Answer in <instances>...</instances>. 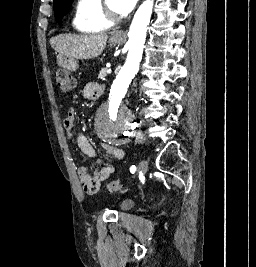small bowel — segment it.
<instances>
[{
  "mask_svg": "<svg viewBox=\"0 0 256 267\" xmlns=\"http://www.w3.org/2000/svg\"><path fill=\"white\" fill-rule=\"evenodd\" d=\"M103 93L102 87L96 82H89L83 88V96L89 100L99 98ZM76 118L75 109H69L64 119V127L69 134L71 140L76 146L87 156L95 157L96 152L89 140L80 133H74V122ZM106 159H98L92 171L86 167H80L77 170L78 179L83 191L87 194H95L98 192L101 183L110 177L114 172V164L121 162L124 158L122 149L109 143L101 145Z\"/></svg>",
  "mask_w": 256,
  "mask_h": 267,
  "instance_id": "1",
  "label": "small bowel"
}]
</instances>
